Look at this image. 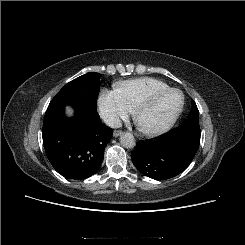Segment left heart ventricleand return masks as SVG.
<instances>
[{
	"instance_id": "1",
	"label": "left heart ventricle",
	"mask_w": 245,
	"mask_h": 245,
	"mask_svg": "<svg viewBox=\"0 0 245 245\" xmlns=\"http://www.w3.org/2000/svg\"><path fill=\"white\" fill-rule=\"evenodd\" d=\"M180 104L181 95L177 92L163 96L140 111L138 123L146 128L155 127L172 116Z\"/></svg>"
}]
</instances>
